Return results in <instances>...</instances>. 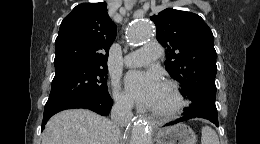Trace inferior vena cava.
<instances>
[{
  "instance_id": "1",
  "label": "inferior vena cava",
  "mask_w": 260,
  "mask_h": 144,
  "mask_svg": "<svg viewBox=\"0 0 260 144\" xmlns=\"http://www.w3.org/2000/svg\"><path fill=\"white\" fill-rule=\"evenodd\" d=\"M132 108V101L124 98L115 99L111 109V122L115 133L120 135L121 129L131 121L133 116ZM116 144H118V142H116Z\"/></svg>"
}]
</instances>
